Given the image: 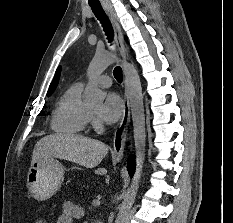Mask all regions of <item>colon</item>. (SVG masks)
Wrapping results in <instances>:
<instances>
[{
    "label": "colon",
    "instance_id": "1",
    "mask_svg": "<svg viewBox=\"0 0 233 223\" xmlns=\"http://www.w3.org/2000/svg\"><path fill=\"white\" fill-rule=\"evenodd\" d=\"M38 223H43V221H38Z\"/></svg>",
    "mask_w": 233,
    "mask_h": 223
}]
</instances>
